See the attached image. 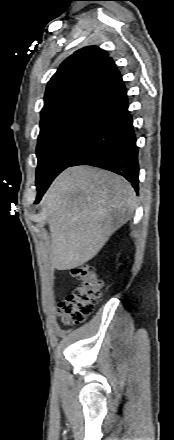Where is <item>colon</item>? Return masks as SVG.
<instances>
[{"label": "colon", "instance_id": "5ec220e1", "mask_svg": "<svg viewBox=\"0 0 174 440\" xmlns=\"http://www.w3.org/2000/svg\"><path fill=\"white\" fill-rule=\"evenodd\" d=\"M71 274L78 279L79 285L59 303L58 309L64 323L81 325L100 298L103 281L95 268L88 264L72 267Z\"/></svg>", "mask_w": 174, "mask_h": 440}]
</instances>
